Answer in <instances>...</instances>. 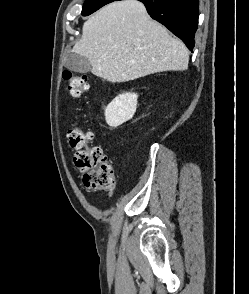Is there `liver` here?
<instances>
[{
  "mask_svg": "<svg viewBox=\"0 0 249 294\" xmlns=\"http://www.w3.org/2000/svg\"><path fill=\"white\" fill-rule=\"evenodd\" d=\"M73 53L86 57L91 72L109 82H126L163 71H184L189 52L147 14L137 0L110 3L84 24Z\"/></svg>",
  "mask_w": 249,
  "mask_h": 294,
  "instance_id": "1",
  "label": "liver"
}]
</instances>
